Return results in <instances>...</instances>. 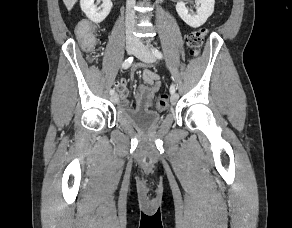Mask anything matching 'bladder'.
I'll use <instances>...</instances> for the list:
<instances>
[{
	"label": "bladder",
	"mask_w": 292,
	"mask_h": 228,
	"mask_svg": "<svg viewBox=\"0 0 292 228\" xmlns=\"http://www.w3.org/2000/svg\"><path fill=\"white\" fill-rule=\"evenodd\" d=\"M122 116L133 126L142 130L154 128L161 121L160 114L153 110H146L143 112L123 111Z\"/></svg>",
	"instance_id": "31cf9c89"
}]
</instances>
